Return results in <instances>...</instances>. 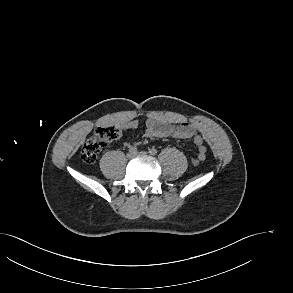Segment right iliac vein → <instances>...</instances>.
<instances>
[{
    "label": "right iliac vein",
    "instance_id": "63e3f726",
    "mask_svg": "<svg viewBox=\"0 0 293 293\" xmlns=\"http://www.w3.org/2000/svg\"><path fill=\"white\" fill-rule=\"evenodd\" d=\"M135 155H136V153H134V152H129V153L127 154V158H128V159H132V158H134Z\"/></svg>",
    "mask_w": 293,
    "mask_h": 293
}]
</instances>
